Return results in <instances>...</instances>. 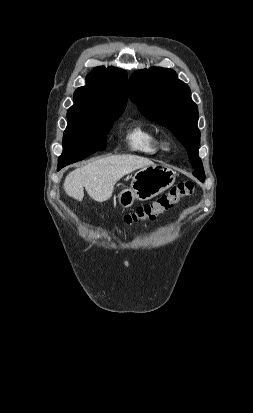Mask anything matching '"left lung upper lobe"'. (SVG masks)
Segmentation results:
<instances>
[{"label": "left lung upper lobe", "instance_id": "5c2ea615", "mask_svg": "<svg viewBox=\"0 0 253 413\" xmlns=\"http://www.w3.org/2000/svg\"><path fill=\"white\" fill-rule=\"evenodd\" d=\"M128 94L142 115L165 126L178 138L187 149L193 175L204 182L205 174L198 156V108L188 85L171 69L151 67L138 70L130 77Z\"/></svg>", "mask_w": 253, "mask_h": 413}]
</instances>
